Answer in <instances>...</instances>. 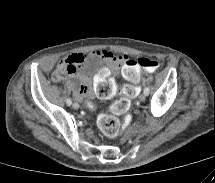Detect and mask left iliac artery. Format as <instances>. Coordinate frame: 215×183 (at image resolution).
Instances as JSON below:
<instances>
[{"instance_id": "obj_1", "label": "left iliac artery", "mask_w": 215, "mask_h": 183, "mask_svg": "<svg viewBox=\"0 0 215 183\" xmlns=\"http://www.w3.org/2000/svg\"><path fill=\"white\" fill-rule=\"evenodd\" d=\"M144 94H145V95H148V94H149V88H148V87H145V88H144Z\"/></svg>"}]
</instances>
